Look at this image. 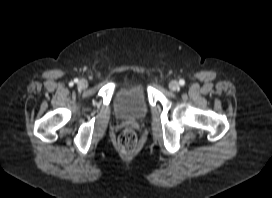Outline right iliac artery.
Returning a JSON list of instances; mask_svg holds the SVG:
<instances>
[{
	"instance_id": "82829eb1",
	"label": "right iliac artery",
	"mask_w": 272,
	"mask_h": 198,
	"mask_svg": "<svg viewBox=\"0 0 272 198\" xmlns=\"http://www.w3.org/2000/svg\"><path fill=\"white\" fill-rule=\"evenodd\" d=\"M74 82H78V79H75Z\"/></svg>"
}]
</instances>
